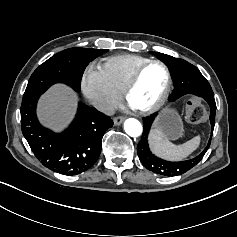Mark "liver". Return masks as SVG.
I'll list each match as a JSON object with an SVG mask.
<instances>
[{"label":"liver","mask_w":237,"mask_h":237,"mask_svg":"<svg viewBox=\"0 0 237 237\" xmlns=\"http://www.w3.org/2000/svg\"><path fill=\"white\" fill-rule=\"evenodd\" d=\"M77 101L78 97L71 88L56 84L41 96L37 107L38 118L44 126L59 132L74 117Z\"/></svg>","instance_id":"liver-1"}]
</instances>
